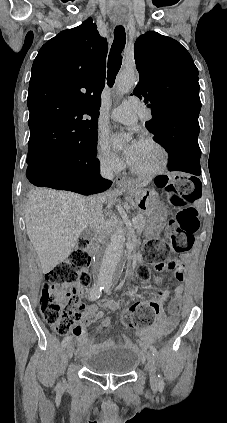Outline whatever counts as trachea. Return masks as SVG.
Listing matches in <instances>:
<instances>
[{
	"mask_svg": "<svg viewBox=\"0 0 227 423\" xmlns=\"http://www.w3.org/2000/svg\"><path fill=\"white\" fill-rule=\"evenodd\" d=\"M126 43V33L122 25L115 27L114 41L109 53L108 70H107V84L112 87L115 82L117 73L122 64V51Z\"/></svg>",
	"mask_w": 227,
	"mask_h": 423,
	"instance_id": "1",
	"label": "trachea"
}]
</instances>
